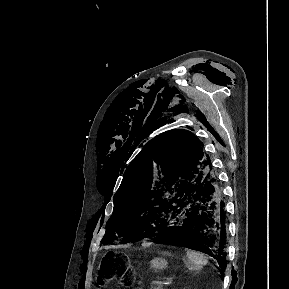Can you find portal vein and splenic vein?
I'll return each mask as SVG.
<instances>
[{
	"mask_svg": "<svg viewBox=\"0 0 289 289\" xmlns=\"http://www.w3.org/2000/svg\"><path fill=\"white\" fill-rule=\"evenodd\" d=\"M163 285H164V283H163V282H161V281H159V282H158V287H160V288H161Z\"/></svg>",
	"mask_w": 289,
	"mask_h": 289,
	"instance_id": "1",
	"label": "portal vein and splenic vein"
}]
</instances>
